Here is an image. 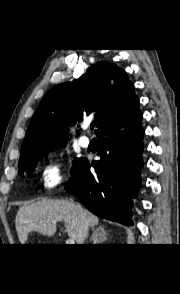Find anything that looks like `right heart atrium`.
Returning a JSON list of instances; mask_svg holds the SVG:
<instances>
[{
	"mask_svg": "<svg viewBox=\"0 0 180 294\" xmlns=\"http://www.w3.org/2000/svg\"><path fill=\"white\" fill-rule=\"evenodd\" d=\"M65 161L60 157H51L41 168L40 178L45 189L57 187L65 178Z\"/></svg>",
	"mask_w": 180,
	"mask_h": 294,
	"instance_id": "1",
	"label": "right heart atrium"
}]
</instances>
